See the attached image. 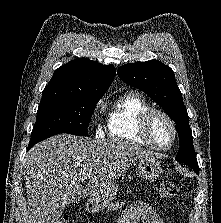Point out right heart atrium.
Wrapping results in <instances>:
<instances>
[{
  "label": "right heart atrium",
  "instance_id": "right-heart-atrium-1",
  "mask_svg": "<svg viewBox=\"0 0 221 223\" xmlns=\"http://www.w3.org/2000/svg\"><path fill=\"white\" fill-rule=\"evenodd\" d=\"M97 107H98V105H97ZM96 127H97V133H99L101 129H100V124L98 121L96 122Z\"/></svg>",
  "mask_w": 221,
  "mask_h": 223
}]
</instances>
